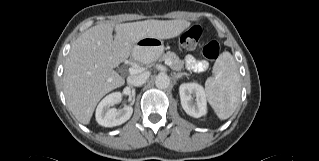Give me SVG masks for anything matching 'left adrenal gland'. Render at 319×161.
Wrapping results in <instances>:
<instances>
[{
	"instance_id": "a2214340",
	"label": "left adrenal gland",
	"mask_w": 319,
	"mask_h": 161,
	"mask_svg": "<svg viewBox=\"0 0 319 161\" xmlns=\"http://www.w3.org/2000/svg\"><path fill=\"white\" fill-rule=\"evenodd\" d=\"M184 75L188 76L189 74H187V73H174V78L179 79Z\"/></svg>"
}]
</instances>
